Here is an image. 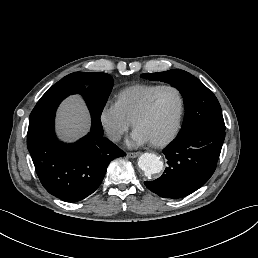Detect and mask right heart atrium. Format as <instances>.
<instances>
[{"label":"right heart atrium","instance_id":"1","mask_svg":"<svg viewBox=\"0 0 258 258\" xmlns=\"http://www.w3.org/2000/svg\"><path fill=\"white\" fill-rule=\"evenodd\" d=\"M99 120L102 128L111 138H119L130 127V122L114 104H109L101 110Z\"/></svg>","mask_w":258,"mask_h":258}]
</instances>
